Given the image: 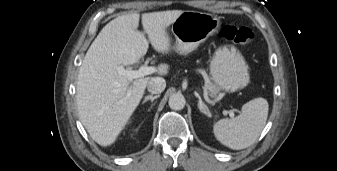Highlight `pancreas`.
Listing matches in <instances>:
<instances>
[{"label":"pancreas","mask_w":337,"mask_h":171,"mask_svg":"<svg viewBox=\"0 0 337 171\" xmlns=\"http://www.w3.org/2000/svg\"><path fill=\"white\" fill-rule=\"evenodd\" d=\"M202 73L205 76V88L211 93L216 95L217 93H219L220 88L213 82H211L210 78L206 75V73L204 71H202Z\"/></svg>","instance_id":"cf45deb5"}]
</instances>
